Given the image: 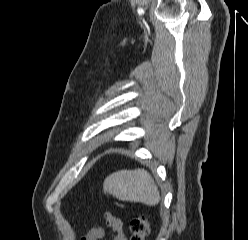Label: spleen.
<instances>
[{
    "label": "spleen",
    "mask_w": 248,
    "mask_h": 240,
    "mask_svg": "<svg viewBox=\"0 0 248 240\" xmlns=\"http://www.w3.org/2000/svg\"><path fill=\"white\" fill-rule=\"evenodd\" d=\"M103 189L120 201L141 202L149 206L160 201L158 187L144 169L117 171L104 180Z\"/></svg>",
    "instance_id": "spleen-1"
}]
</instances>
